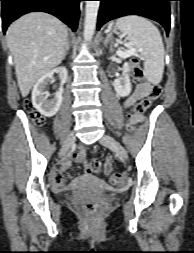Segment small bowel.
I'll return each mask as SVG.
<instances>
[{
    "instance_id": "c3829d8e",
    "label": "small bowel",
    "mask_w": 194,
    "mask_h": 253,
    "mask_svg": "<svg viewBox=\"0 0 194 253\" xmlns=\"http://www.w3.org/2000/svg\"><path fill=\"white\" fill-rule=\"evenodd\" d=\"M152 85L150 83H140L136 86V89L134 90V92L125 99L124 101V107L125 108H130L132 107L136 102H138L139 100L146 98L150 91H151ZM143 115H134L131 117L130 122L133 125H136L140 122L143 121ZM71 165V161L70 160H66L64 161L61 166L59 168H57L55 171L52 172L51 174V178L54 184V187L57 190H63L66 187V183H65V178L63 176V172L65 170H67ZM112 169V164L111 162L108 160L105 163L104 166V172L106 174L110 173Z\"/></svg>"
}]
</instances>
